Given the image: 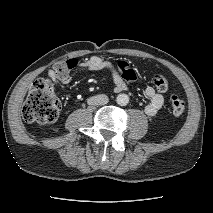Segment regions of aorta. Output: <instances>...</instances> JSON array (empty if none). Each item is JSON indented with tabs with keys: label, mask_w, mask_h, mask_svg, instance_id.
Wrapping results in <instances>:
<instances>
[{
	"label": "aorta",
	"mask_w": 213,
	"mask_h": 213,
	"mask_svg": "<svg viewBox=\"0 0 213 213\" xmlns=\"http://www.w3.org/2000/svg\"><path fill=\"white\" fill-rule=\"evenodd\" d=\"M116 101L119 105L125 106L129 103V96L127 94H119Z\"/></svg>",
	"instance_id": "762f6f07"
}]
</instances>
